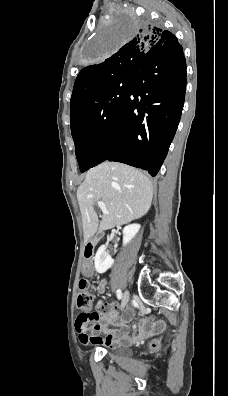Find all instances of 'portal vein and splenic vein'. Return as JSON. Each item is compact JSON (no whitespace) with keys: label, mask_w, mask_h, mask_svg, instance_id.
I'll use <instances>...</instances> for the list:
<instances>
[{"label":"portal vein and splenic vein","mask_w":228,"mask_h":396,"mask_svg":"<svg viewBox=\"0 0 228 396\" xmlns=\"http://www.w3.org/2000/svg\"><path fill=\"white\" fill-rule=\"evenodd\" d=\"M97 205L102 210L103 214H110V212L107 210L106 205L103 201H97Z\"/></svg>","instance_id":"obj_1"}]
</instances>
